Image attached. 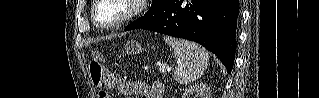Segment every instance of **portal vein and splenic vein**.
Instances as JSON below:
<instances>
[{
	"label": "portal vein and splenic vein",
	"instance_id": "1",
	"mask_svg": "<svg viewBox=\"0 0 319 98\" xmlns=\"http://www.w3.org/2000/svg\"><path fill=\"white\" fill-rule=\"evenodd\" d=\"M159 68L163 71V72H165L166 70L167 71H170L171 70V68L169 67V66H166V65H159Z\"/></svg>",
	"mask_w": 319,
	"mask_h": 98
}]
</instances>
